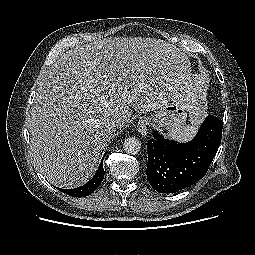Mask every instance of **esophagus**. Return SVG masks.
Returning <instances> with one entry per match:
<instances>
[{
	"instance_id": "34e87169",
	"label": "esophagus",
	"mask_w": 255,
	"mask_h": 255,
	"mask_svg": "<svg viewBox=\"0 0 255 255\" xmlns=\"http://www.w3.org/2000/svg\"><path fill=\"white\" fill-rule=\"evenodd\" d=\"M149 125V120L146 117H143L139 120L137 124V130L142 136H146L148 134L147 132V126Z\"/></svg>"
}]
</instances>
